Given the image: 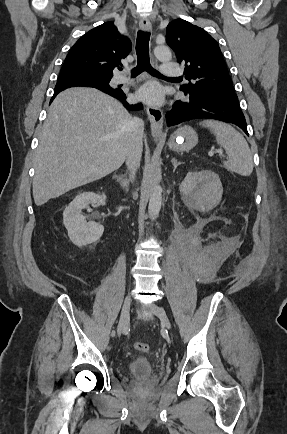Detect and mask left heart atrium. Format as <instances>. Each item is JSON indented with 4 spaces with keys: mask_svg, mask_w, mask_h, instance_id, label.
I'll list each match as a JSON object with an SVG mask.
<instances>
[{
    "mask_svg": "<svg viewBox=\"0 0 287 434\" xmlns=\"http://www.w3.org/2000/svg\"><path fill=\"white\" fill-rule=\"evenodd\" d=\"M138 97L149 104L157 105L164 100V90L156 83H149L139 90Z\"/></svg>",
    "mask_w": 287,
    "mask_h": 434,
    "instance_id": "1",
    "label": "left heart atrium"
}]
</instances>
